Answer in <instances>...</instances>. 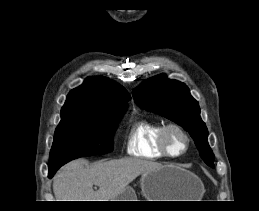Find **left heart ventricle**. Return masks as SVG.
Returning <instances> with one entry per match:
<instances>
[{
  "instance_id": "left-heart-ventricle-1",
  "label": "left heart ventricle",
  "mask_w": 259,
  "mask_h": 211,
  "mask_svg": "<svg viewBox=\"0 0 259 211\" xmlns=\"http://www.w3.org/2000/svg\"><path fill=\"white\" fill-rule=\"evenodd\" d=\"M168 143L173 152H179L183 147V139L174 131L169 133Z\"/></svg>"
}]
</instances>
